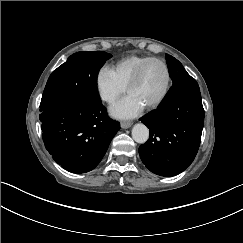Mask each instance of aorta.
I'll return each instance as SVG.
<instances>
[{
  "label": "aorta",
  "mask_w": 243,
  "mask_h": 243,
  "mask_svg": "<svg viewBox=\"0 0 243 243\" xmlns=\"http://www.w3.org/2000/svg\"><path fill=\"white\" fill-rule=\"evenodd\" d=\"M132 138L138 144H144L149 139V129L143 124H137L132 129Z\"/></svg>",
  "instance_id": "762f6f07"
}]
</instances>
